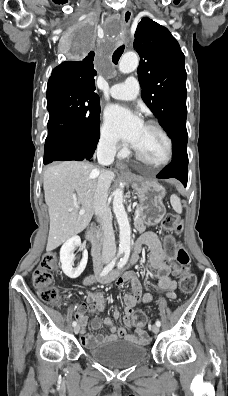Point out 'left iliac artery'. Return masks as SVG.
Masks as SVG:
<instances>
[{"instance_id": "44dca946", "label": "left iliac artery", "mask_w": 228, "mask_h": 396, "mask_svg": "<svg viewBox=\"0 0 228 396\" xmlns=\"http://www.w3.org/2000/svg\"><path fill=\"white\" fill-rule=\"evenodd\" d=\"M128 257H129V251H126V252H125V255L123 256V258H121L120 261H119L118 264H117L118 268H122V267L126 264V262H127V260H128ZM156 325H157V326H160V325H161L160 320H157V321H156Z\"/></svg>"}]
</instances>
